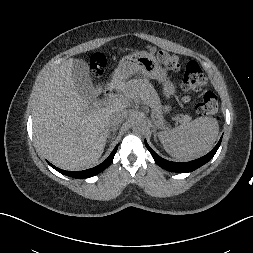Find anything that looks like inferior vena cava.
Returning <instances> with one entry per match:
<instances>
[{"label":"inferior vena cava","instance_id":"1","mask_svg":"<svg viewBox=\"0 0 253 253\" xmlns=\"http://www.w3.org/2000/svg\"><path fill=\"white\" fill-rule=\"evenodd\" d=\"M128 116L127 111H115L109 117V123L111 126L118 127L125 121Z\"/></svg>","mask_w":253,"mask_h":253}]
</instances>
